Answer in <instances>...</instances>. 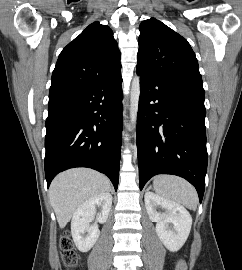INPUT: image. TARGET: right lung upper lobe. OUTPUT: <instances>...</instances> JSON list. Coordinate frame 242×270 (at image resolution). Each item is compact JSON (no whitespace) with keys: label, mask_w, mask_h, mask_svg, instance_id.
<instances>
[{"label":"right lung upper lobe","mask_w":242,"mask_h":270,"mask_svg":"<svg viewBox=\"0 0 242 270\" xmlns=\"http://www.w3.org/2000/svg\"><path fill=\"white\" fill-rule=\"evenodd\" d=\"M120 70V51L112 30L94 22L60 53L49 100L79 91Z\"/></svg>","instance_id":"cb5924a9"}]
</instances>
